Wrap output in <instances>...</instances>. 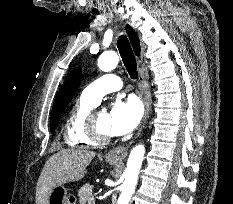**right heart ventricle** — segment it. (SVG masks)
Segmentation results:
<instances>
[{
	"mask_svg": "<svg viewBox=\"0 0 233 204\" xmlns=\"http://www.w3.org/2000/svg\"><path fill=\"white\" fill-rule=\"evenodd\" d=\"M97 104L81 96L71 108L64 126V139L74 148L93 147L98 144L87 130V119Z\"/></svg>",
	"mask_w": 233,
	"mask_h": 204,
	"instance_id": "obj_1",
	"label": "right heart ventricle"
}]
</instances>
